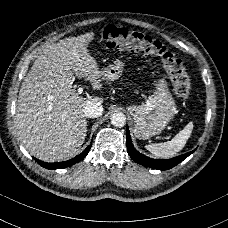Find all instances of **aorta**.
I'll return each instance as SVG.
<instances>
[{
	"label": "aorta",
	"instance_id": "1",
	"mask_svg": "<svg viewBox=\"0 0 228 228\" xmlns=\"http://www.w3.org/2000/svg\"><path fill=\"white\" fill-rule=\"evenodd\" d=\"M111 123L114 127H123L126 124V116L124 113L117 112L111 116Z\"/></svg>",
	"mask_w": 228,
	"mask_h": 228
}]
</instances>
